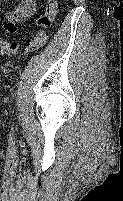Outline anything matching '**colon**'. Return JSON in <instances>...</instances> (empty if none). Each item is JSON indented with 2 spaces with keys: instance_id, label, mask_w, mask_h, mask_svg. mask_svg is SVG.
I'll return each instance as SVG.
<instances>
[{
  "instance_id": "colon-1",
  "label": "colon",
  "mask_w": 123,
  "mask_h": 201,
  "mask_svg": "<svg viewBox=\"0 0 123 201\" xmlns=\"http://www.w3.org/2000/svg\"><path fill=\"white\" fill-rule=\"evenodd\" d=\"M56 13V0H46L44 10L36 20L39 29L34 37L27 40L25 48L21 49L15 42L0 40V54L17 55L22 52L32 53L44 47L48 40V30L55 19Z\"/></svg>"
}]
</instances>
